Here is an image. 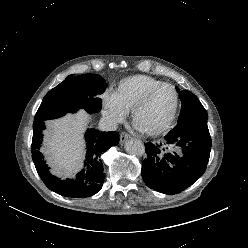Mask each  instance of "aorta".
Masks as SVG:
<instances>
[{
	"label": "aorta",
	"mask_w": 248,
	"mask_h": 248,
	"mask_svg": "<svg viewBox=\"0 0 248 248\" xmlns=\"http://www.w3.org/2000/svg\"><path fill=\"white\" fill-rule=\"evenodd\" d=\"M127 153L134 156H141L145 153V146L139 139H130L125 143Z\"/></svg>",
	"instance_id": "1"
}]
</instances>
